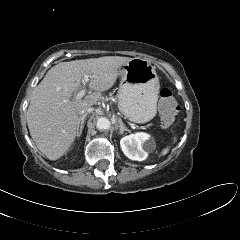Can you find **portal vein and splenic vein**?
Listing matches in <instances>:
<instances>
[{
    "label": "portal vein and splenic vein",
    "mask_w": 240,
    "mask_h": 240,
    "mask_svg": "<svg viewBox=\"0 0 240 240\" xmlns=\"http://www.w3.org/2000/svg\"><path fill=\"white\" fill-rule=\"evenodd\" d=\"M88 81H89V75H85V76L83 77V79H82V82H83V83H88ZM85 93H86V90H85V89H82L81 91H79V92L77 93L76 98H77V99H81V98L85 95Z\"/></svg>",
    "instance_id": "portal-vein-and-splenic-vein-1"
}]
</instances>
